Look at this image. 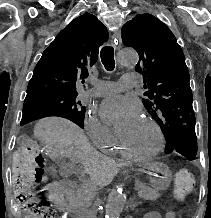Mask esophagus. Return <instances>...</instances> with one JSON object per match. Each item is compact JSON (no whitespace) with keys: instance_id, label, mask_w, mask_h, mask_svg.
Returning a JSON list of instances; mask_svg holds the SVG:
<instances>
[{"instance_id":"34e87169","label":"esophagus","mask_w":211,"mask_h":218,"mask_svg":"<svg viewBox=\"0 0 211 218\" xmlns=\"http://www.w3.org/2000/svg\"><path fill=\"white\" fill-rule=\"evenodd\" d=\"M111 43L117 49H119L121 47L122 39H121L120 31H117L113 34L112 39H111Z\"/></svg>"}]
</instances>
